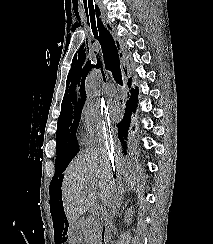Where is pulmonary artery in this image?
Returning <instances> with one entry per match:
<instances>
[{
  "label": "pulmonary artery",
  "instance_id": "pulmonary-artery-1",
  "mask_svg": "<svg viewBox=\"0 0 213 244\" xmlns=\"http://www.w3.org/2000/svg\"><path fill=\"white\" fill-rule=\"evenodd\" d=\"M104 91L108 96H113L116 94L115 86L112 83H107L104 87Z\"/></svg>",
  "mask_w": 213,
  "mask_h": 244
}]
</instances>
